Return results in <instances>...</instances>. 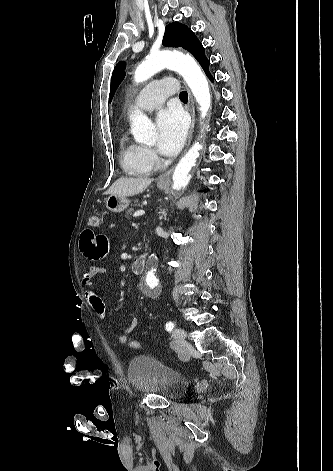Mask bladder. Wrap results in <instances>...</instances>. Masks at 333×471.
I'll list each match as a JSON object with an SVG mask.
<instances>
[{"instance_id":"31cf9c89","label":"bladder","mask_w":333,"mask_h":471,"mask_svg":"<svg viewBox=\"0 0 333 471\" xmlns=\"http://www.w3.org/2000/svg\"><path fill=\"white\" fill-rule=\"evenodd\" d=\"M127 375L130 385L136 391L168 400L181 398L189 388V380L183 374L149 355L132 358Z\"/></svg>"}]
</instances>
